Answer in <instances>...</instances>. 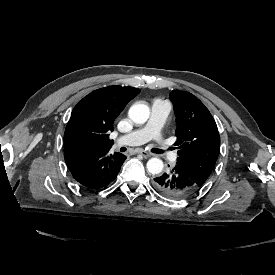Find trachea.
I'll return each mask as SVG.
<instances>
[{
  "instance_id": "trachea-1",
  "label": "trachea",
  "mask_w": 275,
  "mask_h": 275,
  "mask_svg": "<svg viewBox=\"0 0 275 275\" xmlns=\"http://www.w3.org/2000/svg\"><path fill=\"white\" fill-rule=\"evenodd\" d=\"M154 152H155V153H162V150H160V149H155Z\"/></svg>"
}]
</instances>
